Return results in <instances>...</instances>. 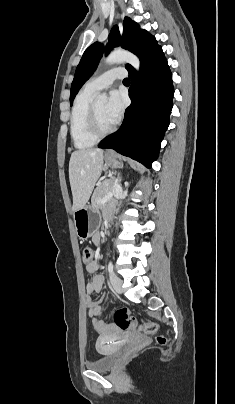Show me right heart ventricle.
<instances>
[{
    "instance_id": "obj_1",
    "label": "right heart ventricle",
    "mask_w": 235,
    "mask_h": 404,
    "mask_svg": "<svg viewBox=\"0 0 235 404\" xmlns=\"http://www.w3.org/2000/svg\"><path fill=\"white\" fill-rule=\"evenodd\" d=\"M93 93L83 89L75 98L71 118L70 135L74 146L77 149H87L94 146L97 142L88 129L89 109Z\"/></svg>"
}]
</instances>
